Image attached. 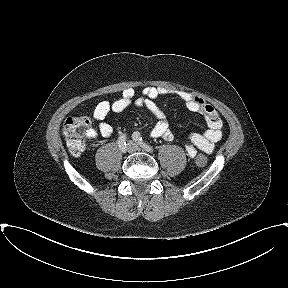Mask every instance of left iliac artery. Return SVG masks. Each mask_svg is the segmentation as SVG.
I'll return each mask as SVG.
<instances>
[{
  "instance_id": "1",
  "label": "left iliac artery",
  "mask_w": 288,
  "mask_h": 288,
  "mask_svg": "<svg viewBox=\"0 0 288 288\" xmlns=\"http://www.w3.org/2000/svg\"><path fill=\"white\" fill-rule=\"evenodd\" d=\"M132 137L143 149H145L148 152H153L154 149L146 142H144L139 132H134Z\"/></svg>"
}]
</instances>
